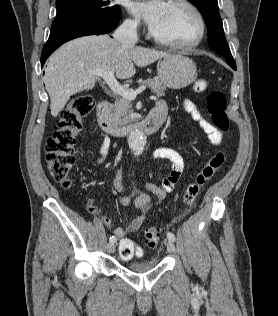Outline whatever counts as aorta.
Here are the masks:
<instances>
[{"label": "aorta", "mask_w": 278, "mask_h": 316, "mask_svg": "<svg viewBox=\"0 0 278 316\" xmlns=\"http://www.w3.org/2000/svg\"><path fill=\"white\" fill-rule=\"evenodd\" d=\"M146 144V136L142 131L135 130L128 136L129 148L133 151L135 156H140Z\"/></svg>", "instance_id": "aorta-1"}]
</instances>
